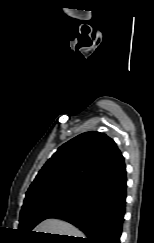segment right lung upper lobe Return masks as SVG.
<instances>
[{"label": "right lung upper lobe", "mask_w": 154, "mask_h": 243, "mask_svg": "<svg viewBox=\"0 0 154 243\" xmlns=\"http://www.w3.org/2000/svg\"><path fill=\"white\" fill-rule=\"evenodd\" d=\"M126 172L115 142L100 132H86L63 144L39 171L24 202L68 195L88 199Z\"/></svg>", "instance_id": "cb5924a9"}]
</instances>
